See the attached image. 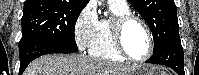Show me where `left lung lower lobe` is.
Instances as JSON below:
<instances>
[{"label":"left lung lower lobe","mask_w":199,"mask_h":75,"mask_svg":"<svg viewBox=\"0 0 199 75\" xmlns=\"http://www.w3.org/2000/svg\"><path fill=\"white\" fill-rule=\"evenodd\" d=\"M151 64L165 65L172 68L179 75H185L184 72V55L180 38L173 40L165 45L162 49L153 53L146 61Z\"/></svg>","instance_id":"1"}]
</instances>
